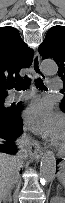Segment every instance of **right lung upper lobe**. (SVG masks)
Instances as JSON below:
<instances>
[{"label": "right lung upper lobe", "instance_id": "right-lung-upper-lobe-1", "mask_svg": "<svg viewBox=\"0 0 65 203\" xmlns=\"http://www.w3.org/2000/svg\"><path fill=\"white\" fill-rule=\"evenodd\" d=\"M33 55L17 29L0 28V96H7V90L21 82L19 71L32 65Z\"/></svg>", "mask_w": 65, "mask_h": 203}]
</instances>
